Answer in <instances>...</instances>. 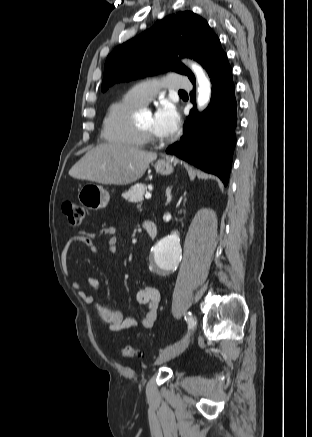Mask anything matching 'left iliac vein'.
<instances>
[{
    "instance_id": "obj_1",
    "label": "left iliac vein",
    "mask_w": 312,
    "mask_h": 437,
    "mask_svg": "<svg viewBox=\"0 0 312 437\" xmlns=\"http://www.w3.org/2000/svg\"><path fill=\"white\" fill-rule=\"evenodd\" d=\"M194 319V318H193ZM191 334L189 333L179 344L161 353L157 359V364H162L170 359H173L183 353L189 345Z\"/></svg>"
}]
</instances>
